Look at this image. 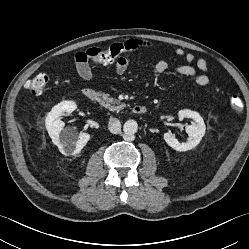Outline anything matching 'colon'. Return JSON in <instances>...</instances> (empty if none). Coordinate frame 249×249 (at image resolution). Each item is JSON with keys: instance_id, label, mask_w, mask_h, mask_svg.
Wrapping results in <instances>:
<instances>
[{"instance_id": "5ec220e1", "label": "colon", "mask_w": 249, "mask_h": 249, "mask_svg": "<svg viewBox=\"0 0 249 249\" xmlns=\"http://www.w3.org/2000/svg\"><path fill=\"white\" fill-rule=\"evenodd\" d=\"M137 48L136 42L116 43L104 49H90L86 54L88 61L106 64L118 59L123 54L135 51ZM48 81L47 74L40 73L29 79L26 87L33 94H42L46 90ZM229 107L234 112H241L244 107L243 100L238 95H232L229 98Z\"/></svg>"}]
</instances>
